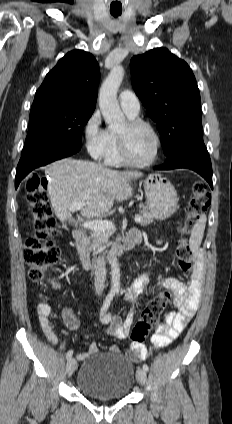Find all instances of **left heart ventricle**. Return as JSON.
I'll return each mask as SVG.
<instances>
[{
    "instance_id": "1",
    "label": "left heart ventricle",
    "mask_w": 232,
    "mask_h": 424,
    "mask_svg": "<svg viewBox=\"0 0 232 424\" xmlns=\"http://www.w3.org/2000/svg\"><path fill=\"white\" fill-rule=\"evenodd\" d=\"M117 132L125 134L127 150L132 159L145 161L153 155L155 139L148 129L144 127L129 129L125 122Z\"/></svg>"
}]
</instances>
